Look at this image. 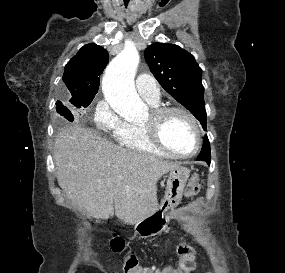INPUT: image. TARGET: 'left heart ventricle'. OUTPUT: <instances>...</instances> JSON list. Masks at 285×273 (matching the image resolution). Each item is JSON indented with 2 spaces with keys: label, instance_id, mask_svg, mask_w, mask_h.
Returning a JSON list of instances; mask_svg holds the SVG:
<instances>
[{
  "label": "left heart ventricle",
  "instance_id": "obj_1",
  "mask_svg": "<svg viewBox=\"0 0 285 273\" xmlns=\"http://www.w3.org/2000/svg\"><path fill=\"white\" fill-rule=\"evenodd\" d=\"M150 119L151 114L144 122H149ZM160 135L164 144L174 152L188 154L195 147L194 126L183 114L173 112L166 115L160 124Z\"/></svg>",
  "mask_w": 285,
  "mask_h": 273
}]
</instances>
